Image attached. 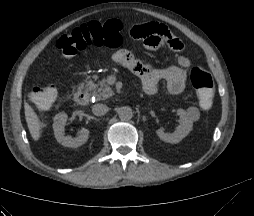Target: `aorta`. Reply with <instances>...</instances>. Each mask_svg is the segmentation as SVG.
<instances>
[{
	"mask_svg": "<svg viewBox=\"0 0 254 216\" xmlns=\"http://www.w3.org/2000/svg\"><path fill=\"white\" fill-rule=\"evenodd\" d=\"M119 118L123 121H128L133 117V111L129 106H123L118 110Z\"/></svg>",
	"mask_w": 254,
	"mask_h": 216,
	"instance_id": "762f6f07",
	"label": "aorta"
}]
</instances>
